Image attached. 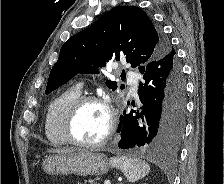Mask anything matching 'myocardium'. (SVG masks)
I'll return each instance as SVG.
<instances>
[{
    "mask_svg": "<svg viewBox=\"0 0 224 184\" xmlns=\"http://www.w3.org/2000/svg\"><path fill=\"white\" fill-rule=\"evenodd\" d=\"M88 103L101 105L103 108H105L108 114V124L106 134L99 141L92 143L79 141L75 137L73 131L74 122L80 109ZM116 124H117L116 112L108 99H106L105 97L95 95H80L71 103V105L69 106V108L65 113L63 121V133L66 141L69 144L84 149H95L105 145L112 138L116 130Z\"/></svg>",
    "mask_w": 224,
    "mask_h": 184,
    "instance_id": "myocardium-1",
    "label": "myocardium"
}]
</instances>
